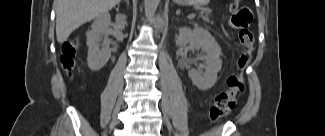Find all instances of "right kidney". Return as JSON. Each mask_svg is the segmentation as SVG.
<instances>
[{"mask_svg": "<svg viewBox=\"0 0 325 136\" xmlns=\"http://www.w3.org/2000/svg\"><path fill=\"white\" fill-rule=\"evenodd\" d=\"M110 22V14L103 13L94 20L91 31L86 34L88 46L87 64L92 71L100 70L110 59L111 48L108 39ZM126 24V16L117 14L115 18L116 27L122 30ZM103 36L104 40L101 43Z\"/></svg>", "mask_w": 325, "mask_h": 136, "instance_id": "ca27d5eb", "label": "right kidney"}]
</instances>
